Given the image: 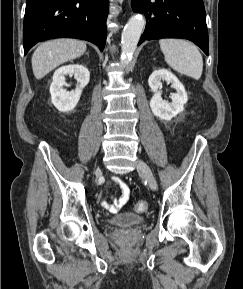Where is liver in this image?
<instances>
[{"instance_id":"obj_1","label":"liver","mask_w":243,"mask_h":289,"mask_svg":"<svg viewBox=\"0 0 243 289\" xmlns=\"http://www.w3.org/2000/svg\"><path fill=\"white\" fill-rule=\"evenodd\" d=\"M86 43L77 39H55L40 44L32 55V70L36 79H42L59 65L82 56Z\"/></svg>"}]
</instances>
